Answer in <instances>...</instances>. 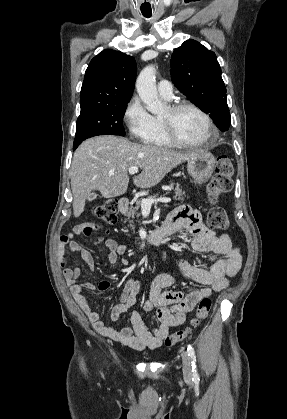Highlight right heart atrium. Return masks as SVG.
Wrapping results in <instances>:
<instances>
[{"label":"right heart atrium","mask_w":287,"mask_h":419,"mask_svg":"<svg viewBox=\"0 0 287 419\" xmlns=\"http://www.w3.org/2000/svg\"><path fill=\"white\" fill-rule=\"evenodd\" d=\"M124 123L134 138H146L153 128V116L148 112L138 96H134L123 114Z\"/></svg>","instance_id":"d8ad5b80"}]
</instances>
